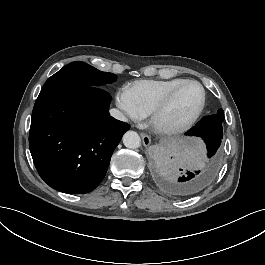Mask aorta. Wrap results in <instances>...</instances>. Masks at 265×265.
Returning a JSON list of instances; mask_svg holds the SVG:
<instances>
[{"label": "aorta", "instance_id": "obj_1", "mask_svg": "<svg viewBox=\"0 0 265 265\" xmlns=\"http://www.w3.org/2000/svg\"><path fill=\"white\" fill-rule=\"evenodd\" d=\"M123 143L129 149H137L141 145V138L136 132L128 131L123 136Z\"/></svg>", "mask_w": 265, "mask_h": 265}]
</instances>
